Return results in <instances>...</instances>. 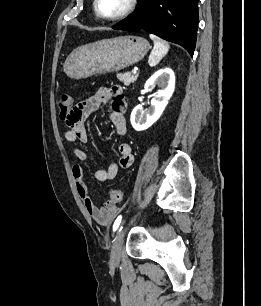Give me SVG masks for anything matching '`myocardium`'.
Wrapping results in <instances>:
<instances>
[{"label":"myocardium","instance_id":"f54148a6","mask_svg":"<svg viewBox=\"0 0 261 306\" xmlns=\"http://www.w3.org/2000/svg\"><path fill=\"white\" fill-rule=\"evenodd\" d=\"M137 4H138V0H128L126 7L120 13L114 16H105L101 14L98 8V0H93V9H94L96 16L99 19L104 20V21H117L131 14L136 8Z\"/></svg>","mask_w":261,"mask_h":306}]
</instances>
